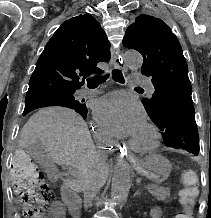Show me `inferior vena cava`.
Segmentation results:
<instances>
[{"instance_id": "inferior-vena-cava-1", "label": "inferior vena cava", "mask_w": 211, "mask_h": 218, "mask_svg": "<svg viewBox=\"0 0 211 218\" xmlns=\"http://www.w3.org/2000/svg\"><path fill=\"white\" fill-rule=\"evenodd\" d=\"M100 158H106L105 154H99ZM105 184L103 176L101 174H90L85 172L83 174V180L80 182L81 188L84 192V206H92L94 198H96L101 186Z\"/></svg>"}]
</instances>
